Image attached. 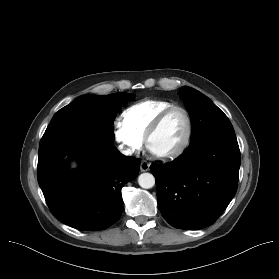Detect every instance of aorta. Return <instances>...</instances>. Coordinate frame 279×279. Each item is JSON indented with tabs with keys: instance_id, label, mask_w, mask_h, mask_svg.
I'll list each match as a JSON object with an SVG mask.
<instances>
[{
	"instance_id": "obj_1",
	"label": "aorta",
	"mask_w": 279,
	"mask_h": 279,
	"mask_svg": "<svg viewBox=\"0 0 279 279\" xmlns=\"http://www.w3.org/2000/svg\"><path fill=\"white\" fill-rule=\"evenodd\" d=\"M140 187L150 189L155 185V177L151 173H142L138 177Z\"/></svg>"
}]
</instances>
